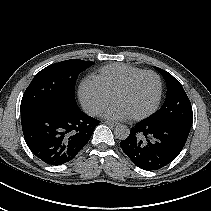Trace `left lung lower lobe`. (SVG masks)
<instances>
[{"label":"left lung lower lobe","instance_id":"obj_1","mask_svg":"<svg viewBox=\"0 0 211 211\" xmlns=\"http://www.w3.org/2000/svg\"><path fill=\"white\" fill-rule=\"evenodd\" d=\"M189 131L179 125L142 120L120 142L123 152L141 169L157 170L171 163L182 151Z\"/></svg>","mask_w":211,"mask_h":211}]
</instances>
